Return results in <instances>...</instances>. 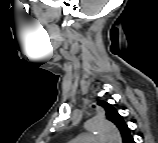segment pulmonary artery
<instances>
[{
	"instance_id": "pulmonary-artery-1",
	"label": "pulmonary artery",
	"mask_w": 158,
	"mask_h": 143,
	"mask_svg": "<svg viewBox=\"0 0 158 143\" xmlns=\"http://www.w3.org/2000/svg\"><path fill=\"white\" fill-rule=\"evenodd\" d=\"M79 140L83 141V142H92V141H97L100 140L99 138L92 136V135H81L79 137Z\"/></svg>"
}]
</instances>
